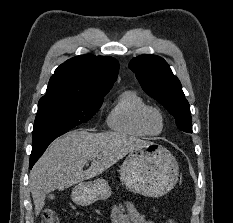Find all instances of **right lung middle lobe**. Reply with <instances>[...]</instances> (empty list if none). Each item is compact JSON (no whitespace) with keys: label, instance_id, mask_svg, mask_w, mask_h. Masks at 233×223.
Returning a JSON list of instances; mask_svg holds the SVG:
<instances>
[{"label":"right lung middle lobe","instance_id":"obj_1","mask_svg":"<svg viewBox=\"0 0 233 223\" xmlns=\"http://www.w3.org/2000/svg\"><path fill=\"white\" fill-rule=\"evenodd\" d=\"M101 105L102 98L43 96L34 122L31 154L44 152L58 136L90 120Z\"/></svg>","mask_w":233,"mask_h":223}]
</instances>
